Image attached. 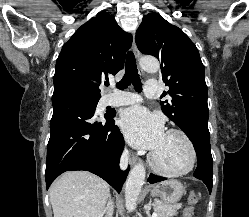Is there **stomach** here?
Wrapping results in <instances>:
<instances>
[{
    "label": "stomach",
    "instance_id": "0dacf381",
    "mask_svg": "<svg viewBox=\"0 0 249 217\" xmlns=\"http://www.w3.org/2000/svg\"><path fill=\"white\" fill-rule=\"evenodd\" d=\"M183 192V185L175 179L165 180L150 188L151 196L160 198L163 203L168 205L177 203L181 199Z\"/></svg>",
    "mask_w": 249,
    "mask_h": 217
}]
</instances>
